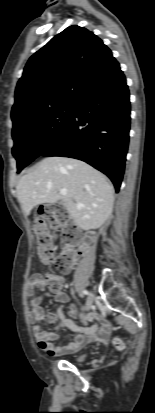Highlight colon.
Wrapping results in <instances>:
<instances>
[{
    "label": "colon",
    "mask_w": 155,
    "mask_h": 413,
    "mask_svg": "<svg viewBox=\"0 0 155 413\" xmlns=\"http://www.w3.org/2000/svg\"><path fill=\"white\" fill-rule=\"evenodd\" d=\"M37 217L34 223V230L38 239L37 251L41 262L47 266H55L59 271H66L75 259L74 247L78 242V237L74 228L69 223L68 214L63 205L53 204L48 206H37ZM50 229L61 231V242L65 251L59 256L56 255V246L53 241ZM46 286L52 291H58L62 286V278L59 274L48 271L44 275ZM114 347L121 350L124 347V340L117 338L114 340Z\"/></svg>",
    "instance_id": "5ec220e1"
}]
</instances>
